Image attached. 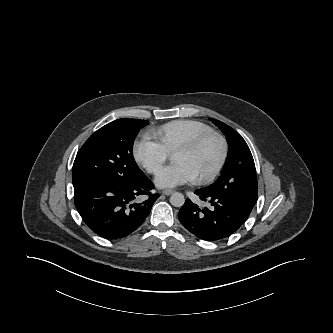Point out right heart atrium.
I'll return each instance as SVG.
<instances>
[{"label": "right heart atrium", "mask_w": 333, "mask_h": 333, "mask_svg": "<svg viewBox=\"0 0 333 333\" xmlns=\"http://www.w3.org/2000/svg\"><path fill=\"white\" fill-rule=\"evenodd\" d=\"M132 153L134 160L153 175H158L161 172L169 157V153L148 135L135 141Z\"/></svg>", "instance_id": "d8ad5b80"}]
</instances>
